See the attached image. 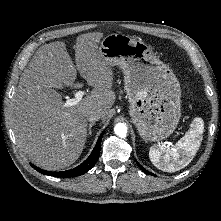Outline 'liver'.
I'll list each match as a JSON object with an SVG mask.
<instances>
[{
  "instance_id": "obj_1",
  "label": "liver",
  "mask_w": 221,
  "mask_h": 221,
  "mask_svg": "<svg viewBox=\"0 0 221 221\" xmlns=\"http://www.w3.org/2000/svg\"><path fill=\"white\" fill-rule=\"evenodd\" d=\"M103 33L77 37L74 65L61 41L41 46L21 74L13 97L12 129L17 145L34 164L57 170L81 155L87 137L86 113L97 110L105 121L116 96L113 71L99 51ZM77 70L93 87L90 96L64 107L57 86L72 87Z\"/></svg>"
}]
</instances>
